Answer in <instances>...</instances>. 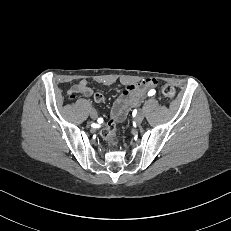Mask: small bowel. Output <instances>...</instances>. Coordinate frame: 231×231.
Listing matches in <instances>:
<instances>
[{
	"instance_id": "obj_1",
	"label": "small bowel",
	"mask_w": 231,
	"mask_h": 231,
	"mask_svg": "<svg viewBox=\"0 0 231 231\" xmlns=\"http://www.w3.org/2000/svg\"><path fill=\"white\" fill-rule=\"evenodd\" d=\"M154 85V79H145L139 83L128 85L127 90L114 102L111 117L118 120L123 119L132 107L140 104L147 91L154 89ZM70 93L72 96L81 94L85 97H90L93 90L88 86L87 80L81 79L72 86ZM94 100L96 103L102 104L105 102V96L102 93H95Z\"/></svg>"
}]
</instances>
